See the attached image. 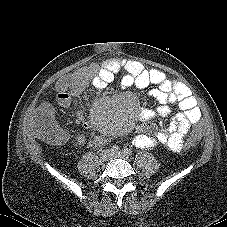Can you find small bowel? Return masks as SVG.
I'll list each match as a JSON object with an SVG mask.
<instances>
[{"label": "small bowel", "mask_w": 227, "mask_h": 227, "mask_svg": "<svg viewBox=\"0 0 227 227\" xmlns=\"http://www.w3.org/2000/svg\"><path fill=\"white\" fill-rule=\"evenodd\" d=\"M119 71L125 72L121 79V85L124 87L144 89L155 86L150 90V96L157 100L160 106L156 110H142L141 120L150 121L157 116L167 118L171 113L170 106L174 104L180 109L175 117L160 129L153 125L141 128L134 136L133 143L139 148H151L160 144L170 152H179L190 127L201 118L196 99L184 83L168 78L160 70L146 69L138 61L110 57L99 64H90L62 77L56 83L60 105L68 106L72 97H79L89 86L96 90L104 89ZM40 111L42 114H52L48 104H43ZM79 119L88 122L85 115H80Z\"/></svg>", "instance_id": "c3829d8e"}]
</instances>
